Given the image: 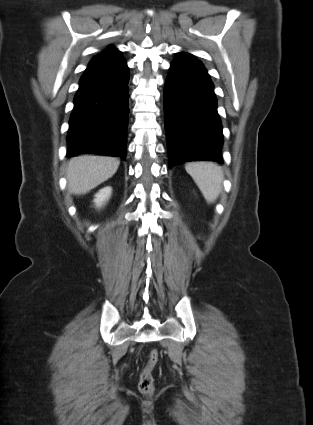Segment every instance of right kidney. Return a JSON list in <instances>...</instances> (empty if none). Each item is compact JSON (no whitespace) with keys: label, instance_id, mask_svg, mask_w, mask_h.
Listing matches in <instances>:
<instances>
[{"label":"right kidney","instance_id":"obj_1","mask_svg":"<svg viewBox=\"0 0 313 425\" xmlns=\"http://www.w3.org/2000/svg\"><path fill=\"white\" fill-rule=\"evenodd\" d=\"M112 194V188L107 186L99 190L98 193L95 194L94 203L97 208L102 207L110 198Z\"/></svg>","mask_w":313,"mask_h":425}]
</instances>
